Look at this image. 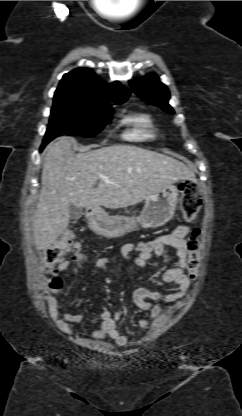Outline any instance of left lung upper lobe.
<instances>
[{"mask_svg": "<svg viewBox=\"0 0 242 416\" xmlns=\"http://www.w3.org/2000/svg\"><path fill=\"white\" fill-rule=\"evenodd\" d=\"M131 88L140 98L161 107L168 113L174 110L168 104L170 93L166 85L159 82L158 77L149 74L141 79L130 81Z\"/></svg>", "mask_w": 242, "mask_h": 416, "instance_id": "1", "label": "left lung upper lobe"}]
</instances>
